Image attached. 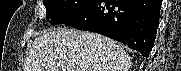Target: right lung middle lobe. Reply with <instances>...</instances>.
Instances as JSON below:
<instances>
[{"label": "right lung middle lobe", "mask_w": 181, "mask_h": 71, "mask_svg": "<svg viewBox=\"0 0 181 71\" xmlns=\"http://www.w3.org/2000/svg\"><path fill=\"white\" fill-rule=\"evenodd\" d=\"M95 0H43L46 18L51 24H59L76 15Z\"/></svg>", "instance_id": "right-lung-middle-lobe-1"}]
</instances>
